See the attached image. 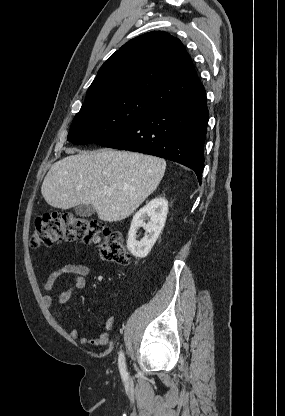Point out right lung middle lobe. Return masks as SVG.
I'll return each instance as SVG.
<instances>
[{"mask_svg":"<svg viewBox=\"0 0 285 416\" xmlns=\"http://www.w3.org/2000/svg\"><path fill=\"white\" fill-rule=\"evenodd\" d=\"M160 105L138 96L81 108L71 124L68 141L89 144L105 139L137 122Z\"/></svg>","mask_w":285,"mask_h":416,"instance_id":"obj_1","label":"right lung middle lobe"}]
</instances>
